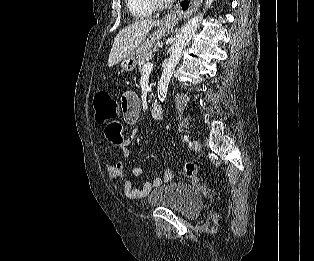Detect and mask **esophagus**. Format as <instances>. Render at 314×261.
<instances>
[{"label": "esophagus", "instance_id": "1", "mask_svg": "<svg viewBox=\"0 0 314 261\" xmlns=\"http://www.w3.org/2000/svg\"><path fill=\"white\" fill-rule=\"evenodd\" d=\"M191 1L193 2V4H189L188 2H185L186 3L185 10H183L180 5H177L175 15L189 17V15H191L194 11L198 9V7L200 6L203 0H191Z\"/></svg>", "mask_w": 314, "mask_h": 261}]
</instances>
